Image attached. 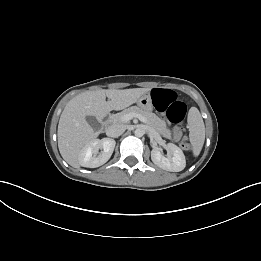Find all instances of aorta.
Here are the masks:
<instances>
[{
    "label": "aorta",
    "instance_id": "762f6f07",
    "mask_svg": "<svg viewBox=\"0 0 261 261\" xmlns=\"http://www.w3.org/2000/svg\"><path fill=\"white\" fill-rule=\"evenodd\" d=\"M134 134H135V136H137V137H141V136H143L144 131H143V129H141V128H137V129L134 131Z\"/></svg>",
    "mask_w": 261,
    "mask_h": 261
}]
</instances>
